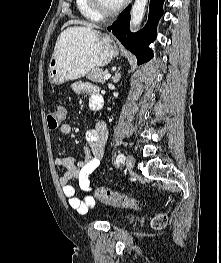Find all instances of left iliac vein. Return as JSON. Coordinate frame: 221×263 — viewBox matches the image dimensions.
<instances>
[{
	"mask_svg": "<svg viewBox=\"0 0 221 263\" xmlns=\"http://www.w3.org/2000/svg\"><path fill=\"white\" fill-rule=\"evenodd\" d=\"M125 163H126V166L128 168H133L134 165H135V158L133 156H131V155H128L126 157V162Z\"/></svg>",
	"mask_w": 221,
	"mask_h": 263,
	"instance_id": "4c4485c4",
	"label": "left iliac vein"
}]
</instances>
